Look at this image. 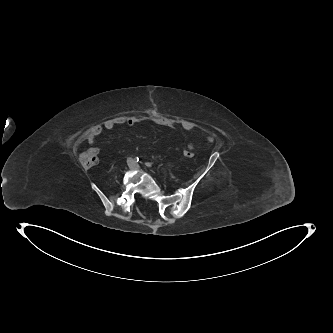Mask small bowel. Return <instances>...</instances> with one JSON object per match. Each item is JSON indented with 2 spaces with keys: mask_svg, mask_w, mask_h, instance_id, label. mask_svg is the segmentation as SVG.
I'll return each instance as SVG.
<instances>
[{
  "mask_svg": "<svg viewBox=\"0 0 333 333\" xmlns=\"http://www.w3.org/2000/svg\"><path fill=\"white\" fill-rule=\"evenodd\" d=\"M140 123V119L137 117H128V118H115V119H109L106 120L102 125H97L93 127L87 134L86 140L89 144H94L96 139L102 134L103 130H111L117 125H128V126H134L136 124ZM154 123L157 125H160L162 127H167V128H173L176 126V122L171 120V119H166V118H157L154 119ZM179 126L188 132H193V131H199L200 134L204 137V140L207 144L212 143L213 138L211 135H209L207 132H205L202 128L198 127L195 123L190 122V121H180ZM187 149H190L191 151L193 150V145H189ZM96 154L98 153L97 148L92 149Z\"/></svg>",
  "mask_w": 333,
  "mask_h": 333,
  "instance_id": "small-bowel-1",
  "label": "small bowel"
}]
</instances>
